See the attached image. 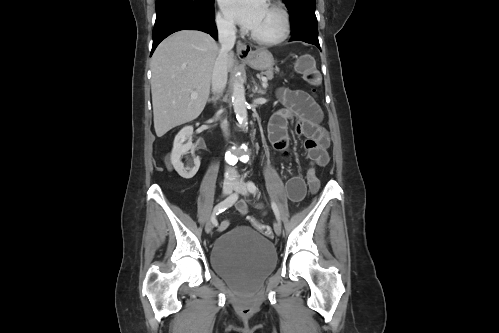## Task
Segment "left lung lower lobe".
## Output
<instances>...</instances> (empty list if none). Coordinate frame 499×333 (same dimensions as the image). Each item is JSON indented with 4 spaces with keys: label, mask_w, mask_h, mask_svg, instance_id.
Here are the masks:
<instances>
[{
    "label": "left lung lower lobe",
    "mask_w": 499,
    "mask_h": 333,
    "mask_svg": "<svg viewBox=\"0 0 499 333\" xmlns=\"http://www.w3.org/2000/svg\"><path fill=\"white\" fill-rule=\"evenodd\" d=\"M291 32L290 41H303L317 46L320 50L318 41V27L315 11L298 10L291 14Z\"/></svg>",
    "instance_id": "left-lung-lower-lobe-1"
}]
</instances>
